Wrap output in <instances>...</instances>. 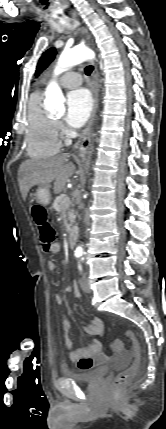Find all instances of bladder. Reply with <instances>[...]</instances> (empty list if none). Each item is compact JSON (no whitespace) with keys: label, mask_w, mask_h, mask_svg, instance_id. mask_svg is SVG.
Here are the masks:
<instances>
[{"label":"bladder","mask_w":166,"mask_h":429,"mask_svg":"<svg viewBox=\"0 0 166 429\" xmlns=\"http://www.w3.org/2000/svg\"><path fill=\"white\" fill-rule=\"evenodd\" d=\"M107 372L108 366H100L87 372L65 369L63 374L77 383H92L103 378Z\"/></svg>","instance_id":"obj_1"}]
</instances>
